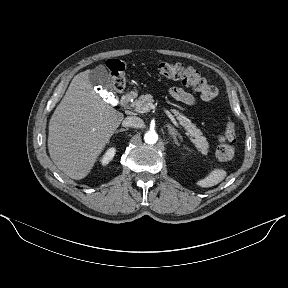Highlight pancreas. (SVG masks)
Here are the masks:
<instances>
[{"instance_id": "obj_1", "label": "pancreas", "mask_w": 288, "mask_h": 288, "mask_svg": "<svg viewBox=\"0 0 288 288\" xmlns=\"http://www.w3.org/2000/svg\"><path fill=\"white\" fill-rule=\"evenodd\" d=\"M153 102V96L151 94H145L139 96L138 99H135L132 102V107L138 110V108L144 107L147 104H151ZM172 112L177 117L179 123L188 131L187 134L193 138L192 141L195 144L197 150L201 152V154L207 155L209 144L200 129H198L189 118L180 113L178 110L172 109Z\"/></svg>"}]
</instances>
